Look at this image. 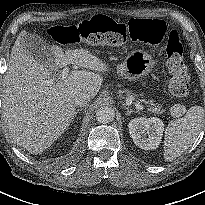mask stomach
Returning <instances> with one entry per match:
<instances>
[{
	"instance_id": "0dacf381",
	"label": "stomach",
	"mask_w": 205,
	"mask_h": 205,
	"mask_svg": "<svg viewBox=\"0 0 205 205\" xmlns=\"http://www.w3.org/2000/svg\"><path fill=\"white\" fill-rule=\"evenodd\" d=\"M155 66L153 57L143 50H134L117 66L119 75L134 80L151 72Z\"/></svg>"
}]
</instances>
